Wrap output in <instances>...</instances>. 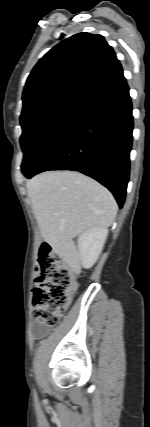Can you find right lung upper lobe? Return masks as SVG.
<instances>
[{
    "mask_svg": "<svg viewBox=\"0 0 150 427\" xmlns=\"http://www.w3.org/2000/svg\"><path fill=\"white\" fill-rule=\"evenodd\" d=\"M123 76L111 46L99 34L78 33L47 52L33 68L23 91L21 116L43 106H80Z\"/></svg>",
    "mask_w": 150,
    "mask_h": 427,
    "instance_id": "obj_1",
    "label": "right lung upper lobe"
}]
</instances>
